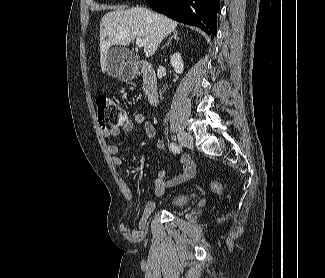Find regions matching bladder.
<instances>
[{
	"instance_id": "bladder-1",
	"label": "bladder",
	"mask_w": 325,
	"mask_h": 278,
	"mask_svg": "<svg viewBox=\"0 0 325 278\" xmlns=\"http://www.w3.org/2000/svg\"><path fill=\"white\" fill-rule=\"evenodd\" d=\"M190 196L188 193L186 192H179L177 194H175L169 201V206L171 207H181L183 205H185L188 200H189Z\"/></svg>"
}]
</instances>
